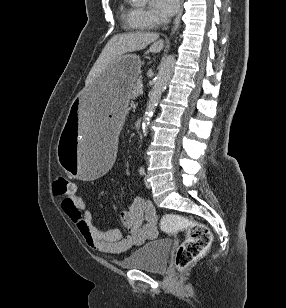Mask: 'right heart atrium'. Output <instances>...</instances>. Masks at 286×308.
Masks as SVG:
<instances>
[{"label":"right heart atrium","instance_id":"d8ad5b80","mask_svg":"<svg viewBox=\"0 0 286 308\" xmlns=\"http://www.w3.org/2000/svg\"><path fill=\"white\" fill-rule=\"evenodd\" d=\"M141 24L145 28H153L163 22V19L154 14L151 10L142 9L139 11Z\"/></svg>","mask_w":286,"mask_h":308}]
</instances>
